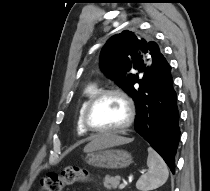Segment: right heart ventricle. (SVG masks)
I'll return each instance as SVG.
<instances>
[{
	"instance_id": "1",
	"label": "right heart ventricle",
	"mask_w": 210,
	"mask_h": 191,
	"mask_svg": "<svg viewBox=\"0 0 210 191\" xmlns=\"http://www.w3.org/2000/svg\"><path fill=\"white\" fill-rule=\"evenodd\" d=\"M98 92V88L96 85L91 84L88 85L83 92V100L81 102V105L78 110V116H77V131L79 134H86L88 131L84 128L82 123V114L83 111L89 102V100Z\"/></svg>"
}]
</instances>
